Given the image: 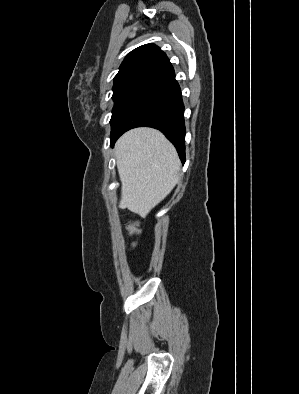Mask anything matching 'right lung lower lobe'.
Segmentation results:
<instances>
[{
	"instance_id": "1",
	"label": "right lung lower lobe",
	"mask_w": 299,
	"mask_h": 394,
	"mask_svg": "<svg viewBox=\"0 0 299 394\" xmlns=\"http://www.w3.org/2000/svg\"><path fill=\"white\" fill-rule=\"evenodd\" d=\"M184 105L179 84L172 73L148 88L126 110L111 132V146L126 131L135 127H153L173 143L185 162Z\"/></svg>"
}]
</instances>
